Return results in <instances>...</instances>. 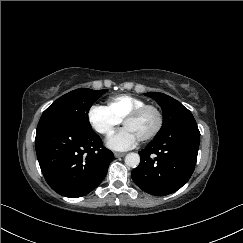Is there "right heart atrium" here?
I'll list each match as a JSON object with an SVG mask.
<instances>
[{"label": "right heart atrium", "mask_w": 243, "mask_h": 243, "mask_svg": "<svg viewBox=\"0 0 243 243\" xmlns=\"http://www.w3.org/2000/svg\"><path fill=\"white\" fill-rule=\"evenodd\" d=\"M87 120L94 131L108 135L121 122L107 106L93 104L87 112Z\"/></svg>", "instance_id": "d8ad5b80"}]
</instances>
